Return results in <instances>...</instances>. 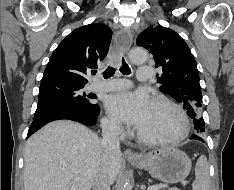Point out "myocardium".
<instances>
[{"mask_svg":"<svg viewBox=\"0 0 234 190\" xmlns=\"http://www.w3.org/2000/svg\"><path fill=\"white\" fill-rule=\"evenodd\" d=\"M154 103H163L173 109L179 117L181 122L180 131L173 136H163V137H149L142 134L139 130H137L136 135L137 138L144 144L147 145H161V144H169V143H178L183 141L189 134L190 131V123L188 116L184 109L173 99L165 96V95H156L152 99Z\"/></svg>","mask_w":234,"mask_h":190,"instance_id":"myocardium-1","label":"myocardium"}]
</instances>
